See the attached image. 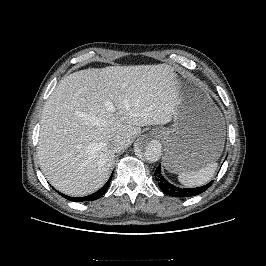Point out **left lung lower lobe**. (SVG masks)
<instances>
[{"label":"left lung lower lobe","instance_id":"obj_1","mask_svg":"<svg viewBox=\"0 0 266 266\" xmlns=\"http://www.w3.org/2000/svg\"><path fill=\"white\" fill-rule=\"evenodd\" d=\"M156 181L158 182V185L160 189L166 193L167 195L174 196V197H191L198 195L202 192H204L208 187L211 186L213 181L208 183L205 186L192 188V189H182L178 188L172 184H170L161 174L160 165L156 168V171L154 173Z\"/></svg>","mask_w":266,"mask_h":266}]
</instances>
